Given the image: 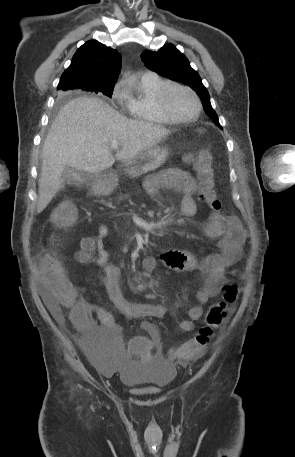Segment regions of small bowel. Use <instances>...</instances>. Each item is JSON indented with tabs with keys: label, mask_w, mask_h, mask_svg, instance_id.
Here are the masks:
<instances>
[{
	"label": "small bowel",
	"mask_w": 295,
	"mask_h": 457,
	"mask_svg": "<svg viewBox=\"0 0 295 457\" xmlns=\"http://www.w3.org/2000/svg\"><path fill=\"white\" fill-rule=\"evenodd\" d=\"M196 189L195 180L187 172L179 169H166L145 182V191L150 197H155L165 190L180 192L183 195L181 209L185 216H193L196 213V204L193 199ZM204 232L208 237L218 239L219 253L208 255L198 261L189 252L168 249L159 256V259L148 256L143 260V267L147 271L155 270L160 261L175 271H200L204 275L203 285L196 293L198 304L189 309L188 319L179 324L182 332L194 329L195 322L203 316V305L220 293L225 283L226 269L239 260L246 240L244 229L237 218L221 216L217 212L210 215L204 226ZM108 235V226L102 224L96 237L81 238L79 249L75 253L76 261L81 264L95 263L103 266L101 281L119 313L127 317L142 319L165 317L168 313L166 305L133 303L123 296L120 287V269L116 265L107 264L109 252L105 247V240ZM41 280L44 286L43 298L49 311L59 322L63 321L60 303L50 288L49 278L42 273ZM93 313H95L96 319L93 318ZM71 320L79 330L80 338H103L115 336L118 333V325L113 315L98 303L91 304L80 300L77 319L71 318ZM141 327L149 333L150 338L147 341L152 342L154 351L156 345H161L156 326L152 322L144 320ZM203 352L195 358L202 356ZM151 356L153 357L154 354Z\"/></svg>",
	"instance_id": "small-bowel-1"
}]
</instances>
